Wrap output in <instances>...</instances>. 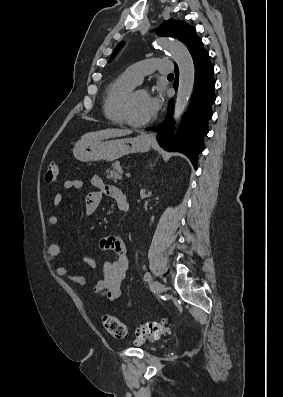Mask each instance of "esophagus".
<instances>
[{
    "mask_svg": "<svg viewBox=\"0 0 283 397\" xmlns=\"http://www.w3.org/2000/svg\"><path fill=\"white\" fill-rule=\"evenodd\" d=\"M146 138L149 140H154L155 139V135L153 133H148L146 134Z\"/></svg>",
    "mask_w": 283,
    "mask_h": 397,
    "instance_id": "1",
    "label": "esophagus"
}]
</instances>
